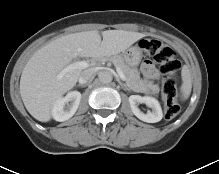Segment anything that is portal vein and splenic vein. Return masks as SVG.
Segmentation results:
<instances>
[{"mask_svg": "<svg viewBox=\"0 0 219 174\" xmlns=\"http://www.w3.org/2000/svg\"><path fill=\"white\" fill-rule=\"evenodd\" d=\"M88 67V63L86 61H76L72 64H69L65 67L60 74L57 76L58 79H61L65 73L72 71L74 69H85ZM116 71L122 80H125V75L119 66H116Z\"/></svg>", "mask_w": 219, "mask_h": 174, "instance_id": "18ae733b", "label": "portal vein and splenic vein"}]
</instances>
